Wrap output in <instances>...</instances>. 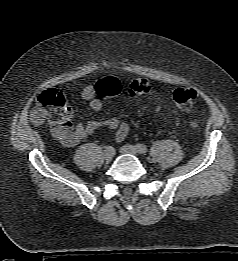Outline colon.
<instances>
[{"instance_id": "colon-1", "label": "colon", "mask_w": 238, "mask_h": 261, "mask_svg": "<svg viewBox=\"0 0 238 261\" xmlns=\"http://www.w3.org/2000/svg\"><path fill=\"white\" fill-rule=\"evenodd\" d=\"M96 91L100 97H111L120 93V81L114 77H108L96 84ZM150 91V83L145 78L134 79L128 93L133 97H145ZM197 92L193 88L178 87L173 91L172 99L181 110L188 111L195 104ZM71 117V109L67 96L56 89H48L42 92L37 100L36 107L31 114L34 123L40 124L47 120L50 125L66 122ZM194 126H197L194 123Z\"/></svg>"}]
</instances>
